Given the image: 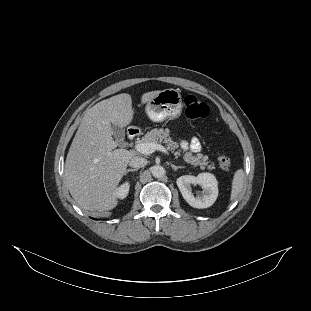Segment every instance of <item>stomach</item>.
I'll return each mask as SVG.
<instances>
[{"label":"stomach","instance_id":"stomach-1","mask_svg":"<svg viewBox=\"0 0 311 311\" xmlns=\"http://www.w3.org/2000/svg\"><path fill=\"white\" fill-rule=\"evenodd\" d=\"M182 111V95L176 89L163 90L146 106V113L154 122H161L166 119L177 121L181 117Z\"/></svg>","mask_w":311,"mask_h":311}]
</instances>
